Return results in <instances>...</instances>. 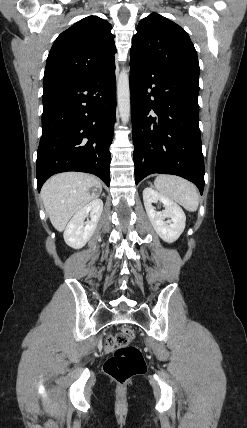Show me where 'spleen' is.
I'll list each match as a JSON object with an SVG mask.
<instances>
[{
	"mask_svg": "<svg viewBox=\"0 0 247 428\" xmlns=\"http://www.w3.org/2000/svg\"><path fill=\"white\" fill-rule=\"evenodd\" d=\"M155 188L165 197L176 201L186 210L198 209L199 194L193 183L175 175L160 174L154 181Z\"/></svg>",
	"mask_w": 247,
	"mask_h": 428,
	"instance_id": "1",
	"label": "spleen"
}]
</instances>
